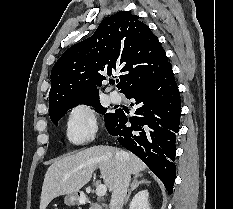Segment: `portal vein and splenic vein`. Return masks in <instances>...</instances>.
<instances>
[{"mask_svg":"<svg viewBox=\"0 0 233 209\" xmlns=\"http://www.w3.org/2000/svg\"><path fill=\"white\" fill-rule=\"evenodd\" d=\"M106 191H107V187L105 184H100L97 186L96 188V195L98 197H102L106 194Z\"/></svg>","mask_w":233,"mask_h":209,"instance_id":"18ae733b","label":"portal vein and splenic vein"}]
</instances>
